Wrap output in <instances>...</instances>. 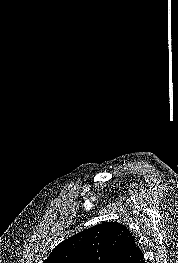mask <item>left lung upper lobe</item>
<instances>
[{
	"label": "left lung upper lobe",
	"mask_w": 178,
	"mask_h": 263,
	"mask_svg": "<svg viewBox=\"0 0 178 263\" xmlns=\"http://www.w3.org/2000/svg\"><path fill=\"white\" fill-rule=\"evenodd\" d=\"M130 233L117 222L93 226L58 244L44 263H109Z\"/></svg>",
	"instance_id": "5c2ea615"
}]
</instances>
